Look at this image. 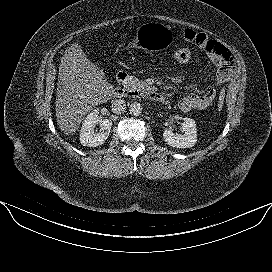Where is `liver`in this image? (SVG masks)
I'll return each mask as SVG.
<instances>
[{
  "label": "liver",
  "mask_w": 272,
  "mask_h": 272,
  "mask_svg": "<svg viewBox=\"0 0 272 272\" xmlns=\"http://www.w3.org/2000/svg\"><path fill=\"white\" fill-rule=\"evenodd\" d=\"M113 93L103 70L86 57L80 45L72 44L59 64L55 111L60 130L75 134L85 115Z\"/></svg>",
  "instance_id": "obj_1"
}]
</instances>
